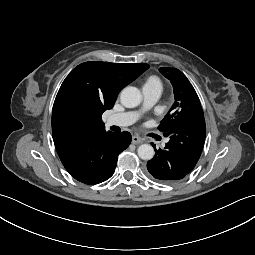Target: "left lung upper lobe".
Instances as JSON below:
<instances>
[{"label":"left lung upper lobe","instance_id":"left-lung-upper-lobe-1","mask_svg":"<svg viewBox=\"0 0 255 255\" xmlns=\"http://www.w3.org/2000/svg\"><path fill=\"white\" fill-rule=\"evenodd\" d=\"M159 71L171 81L175 97L173 106L158 126L165 135L172 128L203 115V110L196 91L181 71L169 67Z\"/></svg>","mask_w":255,"mask_h":255}]
</instances>
